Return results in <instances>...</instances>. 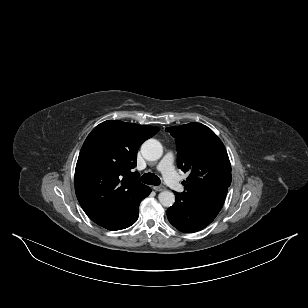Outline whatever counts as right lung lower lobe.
Wrapping results in <instances>:
<instances>
[{"mask_svg": "<svg viewBox=\"0 0 308 308\" xmlns=\"http://www.w3.org/2000/svg\"><path fill=\"white\" fill-rule=\"evenodd\" d=\"M151 192V189L148 187L143 195V197L136 203L135 209L132 213V215L128 218V220L120 227L118 228H114V229H110V230H121L124 228H127L129 226H131L132 224H134L136 222V220L138 219V214H139V204L140 202L147 197Z\"/></svg>", "mask_w": 308, "mask_h": 308, "instance_id": "1", "label": "right lung lower lobe"}]
</instances>
